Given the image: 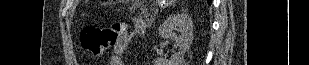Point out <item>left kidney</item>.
Returning <instances> with one entry per match:
<instances>
[{"label":"left kidney","mask_w":309,"mask_h":65,"mask_svg":"<svg viewBox=\"0 0 309 65\" xmlns=\"http://www.w3.org/2000/svg\"><path fill=\"white\" fill-rule=\"evenodd\" d=\"M159 36L171 39L179 47V52L171 56L170 60L158 58L156 65H182L184 54L193 41V21L187 14L181 13L169 16L159 27ZM176 31L180 34L177 35Z\"/></svg>","instance_id":"left-kidney-1"}]
</instances>
